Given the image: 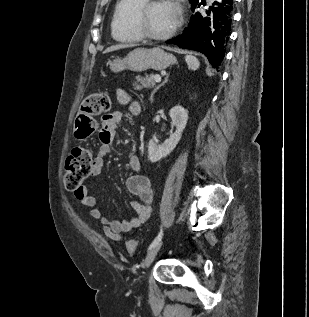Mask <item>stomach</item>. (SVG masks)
<instances>
[{
  "mask_svg": "<svg viewBox=\"0 0 309 317\" xmlns=\"http://www.w3.org/2000/svg\"><path fill=\"white\" fill-rule=\"evenodd\" d=\"M176 63V58L159 47L136 48L124 58H116L110 62L111 71L118 73L123 70L143 72L148 69L164 70Z\"/></svg>",
  "mask_w": 309,
  "mask_h": 317,
  "instance_id": "stomach-1",
  "label": "stomach"
}]
</instances>
